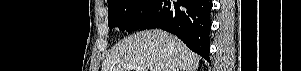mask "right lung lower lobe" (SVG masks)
Masks as SVG:
<instances>
[{
	"instance_id": "98d812e1",
	"label": "right lung lower lobe",
	"mask_w": 301,
	"mask_h": 71,
	"mask_svg": "<svg viewBox=\"0 0 301 71\" xmlns=\"http://www.w3.org/2000/svg\"><path fill=\"white\" fill-rule=\"evenodd\" d=\"M211 10L209 0H157L142 30L171 32L210 62Z\"/></svg>"
}]
</instances>
